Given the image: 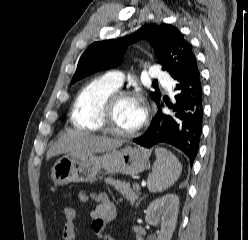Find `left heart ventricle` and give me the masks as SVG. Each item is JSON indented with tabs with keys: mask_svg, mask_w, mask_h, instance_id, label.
Returning a JSON list of instances; mask_svg holds the SVG:
<instances>
[{
	"mask_svg": "<svg viewBox=\"0 0 248 240\" xmlns=\"http://www.w3.org/2000/svg\"><path fill=\"white\" fill-rule=\"evenodd\" d=\"M135 106L134 97L118 100L111 112L112 125L120 131L134 130L137 127L134 121Z\"/></svg>",
	"mask_w": 248,
	"mask_h": 240,
	"instance_id": "b2bd125f",
	"label": "left heart ventricle"
}]
</instances>
